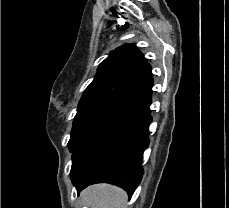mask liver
<instances>
[{
  "mask_svg": "<svg viewBox=\"0 0 229 208\" xmlns=\"http://www.w3.org/2000/svg\"><path fill=\"white\" fill-rule=\"evenodd\" d=\"M83 202L90 208H124L127 194L121 188L110 184H96L81 192Z\"/></svg>",
  "mask_w": 229,
  "mask_h": 208,
  "instance_id": "obj_1",
  "label": "liver"
}]
</instances>
